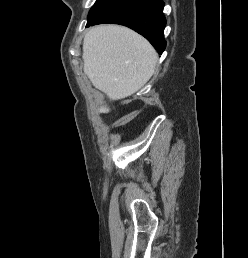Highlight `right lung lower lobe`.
<instances>
[{"label": "right lung lower lobe", "instance_id": "1", "mask_svg": "<svg viewBox=\"0 0 248 258\" xmlns=\"http://www.w3.org/2000/svg\"><path fill=\"white\" fill-rule=\"evenodd\" d=\"M163 7L162 0H118L98 18L88 21L86 27L102 23L127 26L144 36L162 54L166 47Z\"/></svg>", "mask_w": 248, "mask_h": 258}]
</instances>
